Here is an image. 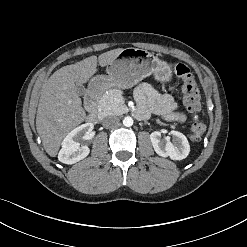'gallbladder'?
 <instances>
[{"label":"gallbladder","instance_id":"gallbladder-1","mask_svg":"<svg viewBox=\"0 0 247 247\" xmlns=\"http://www.w3.org/2000/svg\"><path fill=\"white\" fill-rule=\"evenodd\" d=\"M76 89H77V93L79 95H84L85 94V87L82 84H76Z\"/></svg>","mask_w":247,"mask_h":247}]
</instances>
